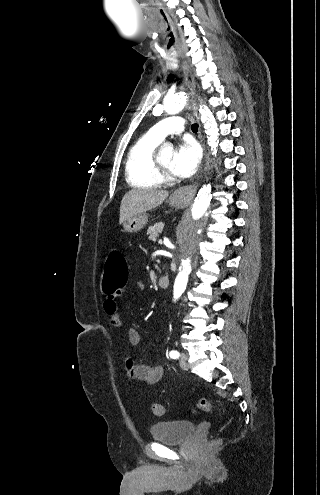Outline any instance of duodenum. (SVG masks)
I'll list each match as a JSON object with an SVG mask.
<instances>
[{
	"label": "duodenum",
	"mask_w": 320,
	"mask_h": 495,
	"mask_svg": "<svg viewBox=\"0 0 320 495\" xmlns=\"http://www.w3.org/2000/svg\"><path fill=\"white\" fill-rule=\"evenodd\" d=\"M169 277L167 275H162L158 279V285L160 288L165 289L169 286Z\"/></svg>",
	"instance_id": "obj_1"
}]
</instances>
